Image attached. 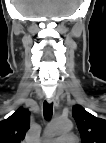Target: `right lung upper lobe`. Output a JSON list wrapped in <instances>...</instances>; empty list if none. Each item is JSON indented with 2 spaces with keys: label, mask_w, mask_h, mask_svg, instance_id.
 Wrapping results in <instances>:
<instances>
[{
  "label": "right lung upper lobe",
  "mask_w": 106,
  "mask_h": 143,
  "mask_svg": "<svg viewBox=\"0 0 106 143\" xmlns=\"http://www.w3.org/2000/svg\"><path fill=\"white\" fill-rule=\"evenodd\" d=\"M30 112L18 108L10 117L0 121V143H21L29 126Z\"/></svg>",
  "instance_id": "obj_1"
}]
</instances>
